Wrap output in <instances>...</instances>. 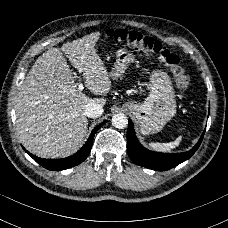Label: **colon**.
Returning a JSON list of instances; mask_svg holds the SVG:
<instances>
[{
  "label": "colon",
  "mask_w": 228,
  "mask_h": 228,
  "mask_svg": "<svg viewBox=\"0 0 228 228\" xmlns=\"http://www.w3.org/2000/svg\"><path fill=\"white\" fill-rule=\"evenodd\" d=\"M109 35L112 40L118 43L130 44L138 52L158 56L161 62L170 70L176 90L180 93H185L188 90L190 80L180 59L175 53L163 46L161 42L138 31L127 29H112Z\"/></svg>",
  "instance_id": "obj_1"
}]
</instances>
